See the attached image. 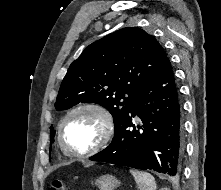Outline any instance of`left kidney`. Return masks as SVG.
<instances>
[{
    "label": "left kidney",
    "mask_w": 221,
    "mask_h": 190,
    "mask_svg": "<svg viewBox=\"0 0 221 190\" xmlns=\"http://www.w3.org/2000/svg\"><path fill=\"white\" fill-rule=\"evenodd\" d=\"M160 190H169V189H167V188H162V189H160Z\"/></svg>",
    "instance_id": "5707ae66"
}]
</instances>
